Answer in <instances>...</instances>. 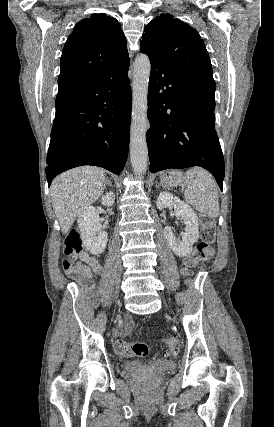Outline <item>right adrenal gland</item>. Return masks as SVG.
<instances>
[{
  "label": "right adrenal gland",
  "instance_id": "right-adrenal-gland-1",
  "mask_svg": "<svg viewBox=\"0 0 274 427\" xmlns=\"http://www.w3.org/2000/svg\"><path fill=\"white\" fill-rule=\"evenodd\" d=\"M107 184H108V186H110V188H112V184H111L110 180H107Z\"/></svg>",
  "mask_w": 274,
  "mask_h": 427
}]
</instances>
